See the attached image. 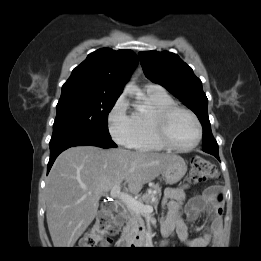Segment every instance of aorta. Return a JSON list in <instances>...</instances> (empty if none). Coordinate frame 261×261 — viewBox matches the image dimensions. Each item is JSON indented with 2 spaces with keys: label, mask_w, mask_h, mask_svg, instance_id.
Instances as JSON below:
<instances>
[{
  "label": "aorta",
  "mask_w": 261,
  "mask_h": 261,
  "mask_svg": "<svg viewBox=\"0 0 261 261\" xmlns=\"http://www.w3.org/2000/svg\"><path fill=\"white\" fill-rule=\"evenodd\" d=\"M125 91L128 92L131 96H133L135 94V92L137 91V88L134 85L129 83V84L126 85ZM135 107L138 110L142 109L141 105H135Z\"/></svg>",
  "instance_id": "1"
}]
</instances>
